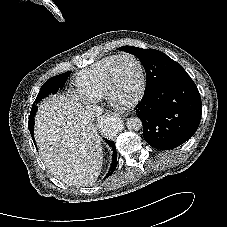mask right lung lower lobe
Returning a JSON list of instances; mask_svg holds the SVG:
<instances>
[{"label":"right lung lower lobe","instance_id":"obj_1","mask_svg":"<svg viewBox=\"0 0 227 227\" xmlns=\"http://www.w3.org/2000/svg\"><path fill=\"white\" fill-rule=\"evenodd\" d=\"M35 107L37 108V106H35ZM107 143L112 147L113 160H112V164H111L110 170H109V172H108V174L106 175L105 178L109 177L115 171V169L117 167V152H116V148L114 146V142L113 141H107Z\"/></svg>","mask_w":227,"mask_h":227}]
</instances>
